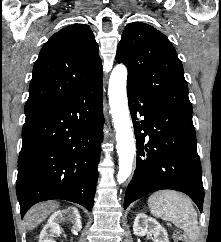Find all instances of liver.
I'll return each mask as SVG.
<instances>
[{
    "label": "liver",
    "mask_w": 221,
    "mask_h": 242,
    "mask_svg": "<svg viewBox=\"0 0 221 242\" xmlns=\"http://www.w3.org/2000/svg\"><path fill=\"white\" fill-rule=\"evenodd\" d=\"M59 204L54 201H48L38 204L31 208L25 215V223L28 230H33L43 222L51 213H53Z\"/></svg>",
    "instance_id": "obj_1"
}]
</instances>
